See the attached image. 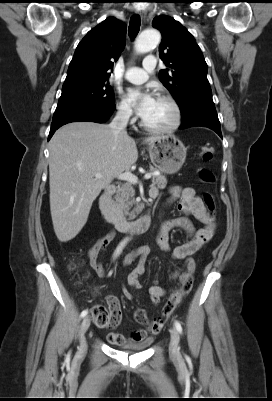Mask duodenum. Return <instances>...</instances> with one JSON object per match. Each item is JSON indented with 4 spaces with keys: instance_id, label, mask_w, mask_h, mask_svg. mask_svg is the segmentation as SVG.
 I'll return each mask as SVG.
<instances>
[{
    "instance_id": "410a0bca",
    "label": "duodenum",
    "mask_w": 272,
    "mask_h": 401,
    "mask_svg": "<svg viewBox=\"0 0 272 401\" xmlns=\"http://www.w3.org/2000/svg\"><path fill=\"white\" fill-rule=\"evenodd\" d=\"M116 190V186L109 185L100 196L99 208L105 220L121 232H145L151 223L149 215L145 214L135 220H129L115 212L112 204V196L115 194Z\"/></svg>"
}]
</instances>
